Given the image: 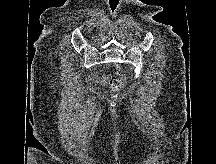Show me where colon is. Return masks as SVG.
I'll list each match as a JSON object with an SVG mask.
<instances>
[{
    "instance_id": "1",
    "label": "colon",
    "mask_w": 216,
    "mask_h": 164,
    "mask_svg": "<svg viewBox=\"0 0 216 164\" xmlns=\"http://www.w3.org/2000/svg\"><path fill=\"white\" fill-rule=\"evenodd\" d=\"M117 72H121V67L119 65H116L115 67ZM125 80L123 78H114L111 81V86L114 90H119L123 87Z\"/></svg>"
}]
</instances>
